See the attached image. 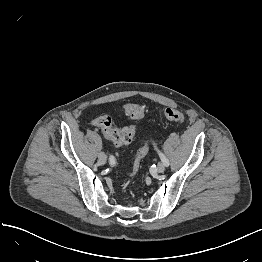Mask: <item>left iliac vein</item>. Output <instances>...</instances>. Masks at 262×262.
I'll use <instances>...</instances> for the list:
<instances>
[{
  "label": "left iliac vein",
  "mask_w": 262,
  "mask_h": 262,
  "mask_svg": "<svg viewBox=\"0 0 262 262\" xmlns=\"http://www.w3.org/2000/svg\"><path fill=\"white\" fill-rule=\"evenodd\" d=\"M157 171L159 173H163L165 171V164L163 162H159L157 165Z\"/></svg>",
  "instance_id": "left-iliac-vein-1"
}]
</instances>
